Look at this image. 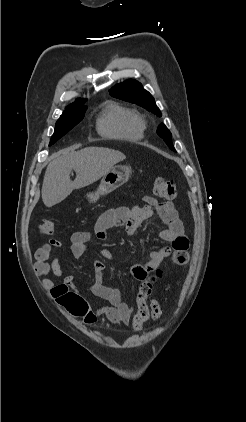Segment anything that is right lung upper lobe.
<instances>
[{
	"label": "right lung upper lobe",
	"instance_id": "cb5924a9",
	"mask_svg": "<svg viewBox=\"0 0 246 422\" xmlns=\"http://www.w3.org/2000/svg\"><path fill=\"white\" fill-rule=\"evenodd\" d=\"M83 104H84V100L83 99H78L73 104L69 105L68 107L84 106Z\"/></svg>",
	"mask_w": 246,
	"mask_h": 422
}]
</instances>
